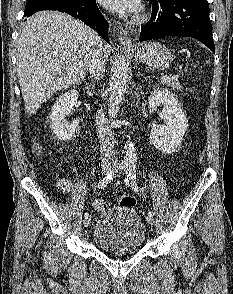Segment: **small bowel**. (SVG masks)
<instances>
[{
  "label": "small bowel",
  "instance_id": "obj_1",
  "mask_svg": "<svg viewBox=\"0 0 233 294\" xmlns=\"http://www.w3.org/2000/svg\"><path fill=\"white\" fill-rule=\"evenodd\" d=\"M58 188L63 192V193H70L73 190V185L72 183L67 180V179H61L58 181ZM96 204H105L103 201H97L95 202L94 205Z\"/></svg>",
  "mask_w": 233,
  "mask_h": 294
}]
</instances>
